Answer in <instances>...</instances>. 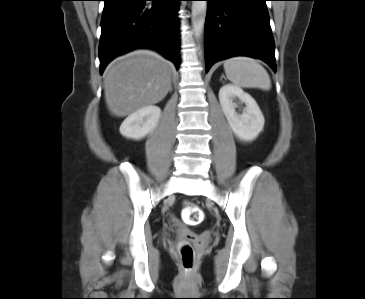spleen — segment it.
<instances>
[{
	"label": "spleen",
	"instance_id": "1",
	"mask_svg": "<svg viewBox=\"0 0 365 299\" xmlns=\"http://www.w3.org/2000/svg\"><path fill=\"white\" fill-rule=\"evenodd\" d=\"M227 78L237 87L269 90L271 80L262 65L249 57H232L224 62Z\"/></svg>",
	"mask_w": 365,
	"mask_h": 299
}]
</instances>
